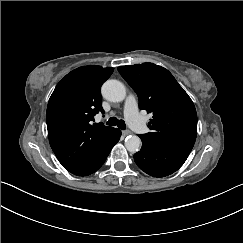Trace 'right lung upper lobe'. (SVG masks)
Instances as JSON below:
<instances>
[{"label": "right lung upper lobe", "mask_w": 243, "mask_h": 243, "mask_svg": "<svg viewBox=\"0 0 243 243\" xmlns=\"http://www.w3.org/2000/svg\"><path fill=\"white\" fill-rule=\"evenodd\" d=\"M113 68L82 66L57 84L47 106L50 146L65 169L89 160L119 129L92 123L104 113L100 88Z\"/></svg>", "instance_id": "cb5924a9"}]
</instances>
